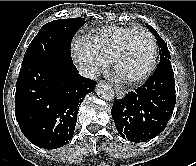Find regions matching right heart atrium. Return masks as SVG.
<instances>
[{
  "label": "right heart atrium",
  "instance_id": "obj_1",
  "mask_svg": "<svg viewBox=\"0 0 196 166\" xmlns=\"http://www.w3.org/2000/svg\"><path fill=\"white\" fill-rule=\"evenodd\" d=\"M72 55L74 60L92 76L104 70L108 63L105 59L96 54L87 41L77 38L72 45Z\"/></svg>",
  "mask_w": 196,
  "mask_h": 166
}]
</instances>
